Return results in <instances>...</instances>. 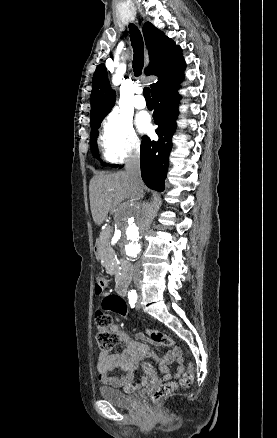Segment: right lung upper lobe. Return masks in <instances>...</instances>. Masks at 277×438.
Masks as SVG:
<instances>
[{
    "label": "right lung upper lobe",
    "instance_id": "cb5924a9",
    "mask_svg": "<svg viewBox=\"0 0 277 438\" xmlns=\"http://www.w3.org/2000/svg\"><path fill=\"white\" fill-rule=\"evenodd\" d=\"M143 35L150 56V65L145 69V74L158 76V81L150 85L152 92L160 83L183 72L185 62L180 47L150 22L144 24ZM115 98L106 67L100 64L93 75L90 123L102 121L114 106Z\"/></svg>",
    "mask_w": 277,
    "mask_h": 438
}]
</instances>
